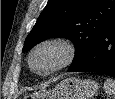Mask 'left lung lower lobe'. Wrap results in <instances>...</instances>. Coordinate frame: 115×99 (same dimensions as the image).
Returning <instances> with one entry per match:
<instances>
[{
    "instance_id": "obj_1",
    "label": "left lung lower lobe",
    "mask_w": 115,
    "mask_h": 99,
    "mask_svg": "<svg viewBox=\"0 0 115 99\" xmlns=\"http://www.w3.org/2000/svg\"><path fill=\"white\" fill-rule=\"evenodd\" d=\"M98 72L115 78V22L94 47L68 72Z\"/></svg>"
}]
</instances>
